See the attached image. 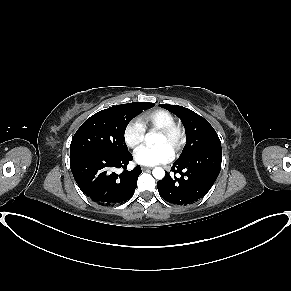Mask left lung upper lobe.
<instances>
[{
	"label": "left lung upper lobe",
	"mask_w": 291,
	"mask_h": 291,
	"mask_svg": "<svg viewBox=\"0 0 291 291\" xmlns=\"http://www.w3.org/2000/svg\"><path fill=\"white\" fill-rule=\"evenodd\" d=\"M160 106L177 115L185 127L186 145L179 159L211 148H221L216 131L205 118L182 106L170 104Z\"/></svg>",
	"instance_id": "5c2ea615"
}]
</instances>
